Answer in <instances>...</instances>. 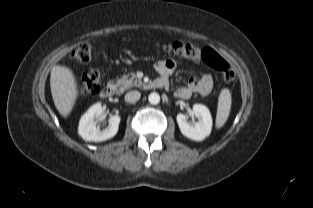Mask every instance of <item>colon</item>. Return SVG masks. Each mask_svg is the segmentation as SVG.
<instances>
[{
  "instance_id": "colon-1",
  "label": "colon",
  "mask_w": 313,
  "mask_h": 208,
  "mask_svg": "<svg viewBox=\"0 0 313 208\" xmlns=\"http://www.w3.org/2000/svg\"><path fill=\"white\" fill-rule=\"evenodd\" d=\"M161 49L176 56L198 61L203 60L214 70L222 74L226 82L234 81L236 73L229 63L211 48L200 50L193 44L174 41L161 45ZM71 57L77 63L86 64L92 57V45L88 42L80 43L71 53ZM101 83V71L97 68L86 71L79 80V91L83 95H93L99 92Z\"/></svg>"
}]
</instances>
